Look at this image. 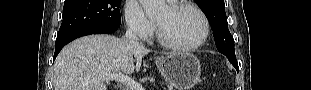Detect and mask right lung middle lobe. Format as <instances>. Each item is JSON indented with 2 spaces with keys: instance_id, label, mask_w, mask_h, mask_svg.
<instances>
[{
  "instance_id": "dd1d6c3e",
  "label": "right lung middle lobe",
  "mask_w": 311,
  "mask_h": 90,
  "mask_svg": "<svg viewBox=\"0 0 311 90\" xmlns=\"http://www.w3.org/2000/svg\"><path fill=\"white\" fill-rule=\"evenodd\" d=\"M121 0H65L57 37L86 27H120Z\"/></svg>"
}]
</instances>
